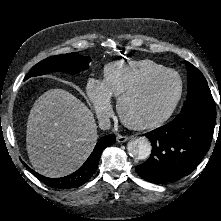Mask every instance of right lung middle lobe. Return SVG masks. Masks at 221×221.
I'll return each mask as SVG.
<instances>
[{"instance_id":"obj_1","label":"right lung middle lobe","mask_w":221,"mask_h":221,"mask_svg":"<svg viewBox=\"0 0 221 221\" xmlns=\"http://www.w3.org/2000/svg\"><path fill=\"white\" fill-rule=\"evenodd\" d=\"M91 61L88 56H81L78 53L56 55L42 60L36 64L25 76L24 80L50 72L65 71L70 74L79 73L89 67Z\"/></svg>"}]
</instances>
